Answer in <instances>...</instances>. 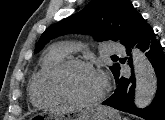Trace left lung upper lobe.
I'll list each match as a JSON object with an SVG mask.
<instances>
[{"instance_id":"5c2ea615","label":"left lung upper lobe","mask_w":165,"mask_h":120,"mask_svg":"<svg viewBox=\"0 0 165 120\" xmlns=\"http://www.w3.org/2000/svg\"><path fill=\"white\" fill-rule=\"evenodd\" d=\"M141 17L128 0H92L80 12L48 27L41 35L35 53L49 40L67 33L92 34L96 41L120 39L124 44ZM118 67V63L110 67L115 80Z\"/></svg>"}]
</instances>
